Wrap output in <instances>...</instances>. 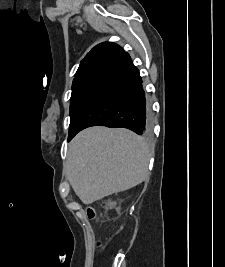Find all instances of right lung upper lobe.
Masks as SVG:
<instances>
[{
	"label": "right lung upper lobe",
	"instance_id": "right-lung-upper-lobe-1",
	"mask_svg": "<svg viewBox=\"0 0 225 267\" xmlns=\"http://www.w3.org/2000/svg\"><path fill=\"white\" fill-rule=\"evenodd\" d=\"M122 53L124 50L115 43L98 44L81 61L73 83L90 77H100Z\"/></svg>",
	"mask_w": 225,
	"mask_h": 267
}]
</instances>
